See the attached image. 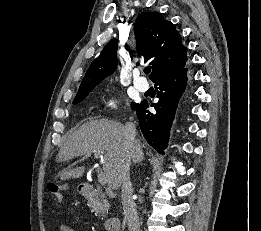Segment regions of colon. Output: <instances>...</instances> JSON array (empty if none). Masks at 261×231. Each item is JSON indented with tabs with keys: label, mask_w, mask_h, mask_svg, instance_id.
<instances>
[{
	"label": "colon",
	"mask_w": 261,
	"mask_h": 231,
	"mask_svg": "<svg viewBox=\"0 0 261 231\" xmlns=\"http://www.w3.org/2000/svg\"><path fill=\"white\" fill-rule=\"evenodd\" d=\"M49 192L58 200L61 201L63 198L62 190L59 185L53 183L49 187Z\"/></svg>",
	"instance_id": "obj_1"
}]
</instances>
